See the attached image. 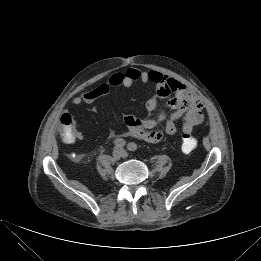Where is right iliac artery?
<instances>
[{"label":"right iliac artery","mask_w":261,"mask_h":261,"mask_svg":"<svg viewBox=\"0 0 261 261\" xmlns=\"http://www.w3.org/2000/svg\"><path fill=\"white\" fill-rule=\"evenodd\" d=\"M113 144L115 145V147H124L126 142L121 138H117L113 141Z\"/></svg>","instance_id":"82829eb1"}]
</instances>
